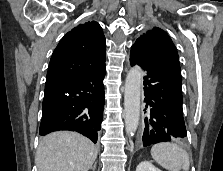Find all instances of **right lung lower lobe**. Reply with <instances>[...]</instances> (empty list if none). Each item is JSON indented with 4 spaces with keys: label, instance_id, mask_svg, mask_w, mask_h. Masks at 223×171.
I'll return each mask as SVG.
<instances>
[{
    "label": "right lung lower lobe",
    "instance_id": "1",
    "mask_svg": "<svg viewBox=\"0 0 223 171\" xmlns=\"http://www.w3.org/2000/svg\"><path fill=\"white\" fill-rule=\"evenodd\" d=\"M105 66L92 74L45 89L40 135L77 131L97 142L104 109Z\"/></svg>",
    "mask_w": 223,
    "mask_h": 171
}]
</instances>
